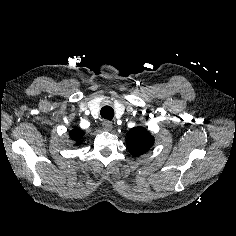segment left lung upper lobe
<instances>
[{"mask_svg": "<svg viewBox=\"0 0 236 236\" xmlns=\"http://www.w3.org/2000/svg\"><path fill=\"white\" fill-rule=\"evenodd\" d=\"M127 136L128 138L126 139V144L129 152L136 157L149 150L154 143V138L143 127H135L130 129Z\"/></svg>", "mask_w": 236, "mask_h": 236, "instance_id": "5c2ea615", "label": "left lung upper lobe"}]
</instances>
